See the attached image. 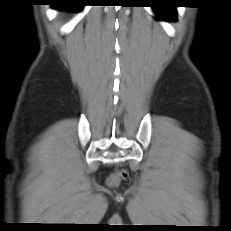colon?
Segmentation results:
<instances>
[{
    "mask_svg": "<svg viewBox=\"0 0 231 231\" xmlns=\"http://www.w3.org/2000/svg\"><path fill=\"white\" fill-rule=\"evenodd\" d=\"M124 176L123 172H117L113 175L110 176L108 183L110 185H116L118 184V182L121 180V178Z\"/></svg>",
    "mask_w": 231,
    "mask_h": 231,
    "instance_id": "obj_1",
    "label": "colon"
}]
</instances>
